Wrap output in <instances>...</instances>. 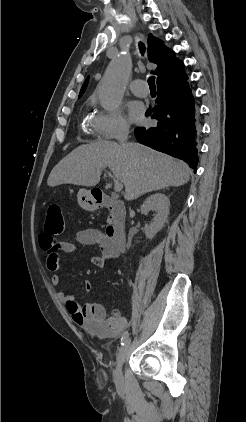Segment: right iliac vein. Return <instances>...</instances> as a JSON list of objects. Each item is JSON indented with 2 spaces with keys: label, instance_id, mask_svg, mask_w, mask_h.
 <instances>
[{
  "label": "right iliac vein",
  "instance_id": "1",
  "mask_svg": "<svg viewBox=\"0 0 246 422\" xmlns=\"http://www.w3.org/2000/svg\"><path fill=\"white\" fill-rule=\"evenodd\" d=\"M129 345L130 340H127L124 345L120 348L117 356V364L114 370V382L118 388H121L124 383L122 367L127 357Z\"/></svg>",
  "mask_w": 246,
  "mask_h": 422
}]
</instances>
